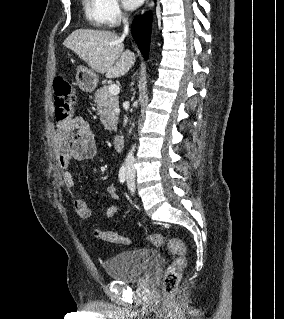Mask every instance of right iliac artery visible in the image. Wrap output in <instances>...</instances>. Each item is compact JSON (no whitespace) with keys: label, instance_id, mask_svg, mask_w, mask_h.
Returning a JSON list of instances; mask_svg holds the SVG:
<instances>
[{"label":"right iliac artery","instance_id":"82829eb1","mask_svg":"<svg viewBox=\"0 0 284 319\" xmlns=\"http://www.w3.org/2000/svg\"><path fill=\"white\" fill-rule=\"evenodd\" d=\"M119 180L121 183H124L126 180V167L122 165L119 171Z\"/></svg>","mask_w":284,"mask_h":319}]
</instances>
